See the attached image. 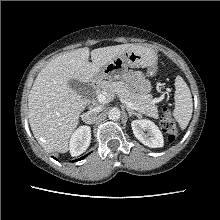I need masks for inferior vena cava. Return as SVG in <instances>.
I'll list each match as a JSON object with an SVG mask.
<instances>
[{
	"instance_id": "602c4592",
	"label": "inferior vena cava",
	"mask_w": 220,
	"mask_h": 220,
	"mask_svg": "<svg viewBox=\"0 0 220 220\" xmlns=\"http://www.w3.org/2000/svg\"><path fill=\"white\" fill-rule=\"evenodd\" d=\"M101 110H102V108H101L100 106L94 107V108L90 109L87 113H84V114L82 115V119L86 121V120H88V118H89L90 116L96 115V114L99 113Z\"/></svg>"
}]
</instances>
